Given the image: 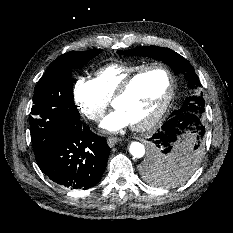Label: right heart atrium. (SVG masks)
Here are the masks:
<instances>
[{"instance_id": "obj_1", "label": "right heart atrium", "mask_w": 233, "mask_h": 233, "mask_svg": "<svg viewBox=\"0 0 233 233\" xmlns=\"http://www.w3.org/2000/svg\"><path fill=\"white\" fill-rule=\"evenodd\" d=\"M73 101L80 114L89 121L98 122L103 117L108 101L101 95L95 80L78 77L73 87Z\"/></svg>"}]
</instances>
